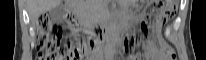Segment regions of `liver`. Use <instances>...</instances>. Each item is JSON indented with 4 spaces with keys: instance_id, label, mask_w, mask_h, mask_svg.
<instances>
[{
    "instance_id": "liver-1",
    "label": "liver",
    "mask_w": 206,
    "mask_h": 60,
    "mask_svg": "<svg viewBox=\"0 0 206 60\" xmlns=\"http://www.w3.org/2000/svg\"><path fill=\"white\" fill-rule=\"evenodd\" d=\"M62 1L63 0H29L28 8L32 24L35 23L41 14L59 6Z\"/></svg>"
}]
</instances>
